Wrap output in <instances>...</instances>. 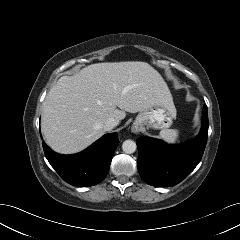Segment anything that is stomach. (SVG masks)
I'll return each mask as SVG.
<instances>
[{
    "label": "stomach",
    "instance_id": "1",
    "mask_svg": "<svg viewBox=\"0 0 240 240\" xmlns=\"http://www.w3.org/2000/svg\"><path fill=\"white\" fill-rule=\"evenodd\" d=\"M175 117L176 109L174 104H156L137 115L133 128L135 130H140L144 127L166 129L172 125Z\"/></svg>",
    "mask_w": 240,
    "mask_h": 240
}]
</instances>
